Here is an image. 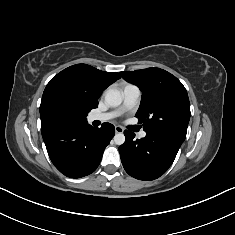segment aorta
Wrapping results in <instances>:
<instances>
[{
	"instance_id": "obj_1",
	"label": "aorta",
	"mask_w": 235,
	"mask_h": 235,
	"mask_svg": "<svg viewBox=\"0 0 235 235\" xmlns=\"http://www.w3.org/2000/svg\"><path fill=\"white\" fill-rule=\"evenodd\" d=\"M123 97L120 91L109 89L105 94V102L111 107H117L122 103ZM114 142L117 145H122L125 142L123 133H117L114 136Z\"/></svg>"
}]
</instances>
